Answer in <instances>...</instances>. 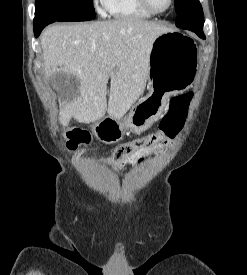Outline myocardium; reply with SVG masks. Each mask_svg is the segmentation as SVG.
I'll return each mask as SVG.
<instances>
[{"label": "myocardium", "mask_w": 247, "mask_h": 275, "mask_svg": "<svg viewBox=\"0 0 247 275\" xmlns=\"http://www.w3.org/2000/svg\"><path fill=\"white\" fill-rule=\"evenodd\" d=\"M139 1L141 3L142 7L144 9H146L148 12H150L151 14H153V15H161V14H164V13L168 12L172 8L173 3H174V0H169V5H168V7L166 9H164V10H156L151 5V3H150L149 0H139Z\"/></svg>", "instance_id": "myocardium-1"}]
</instances>
